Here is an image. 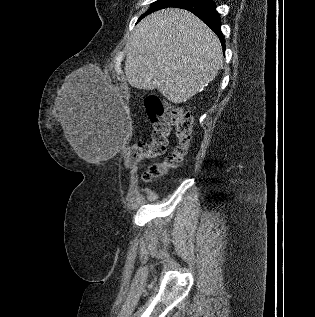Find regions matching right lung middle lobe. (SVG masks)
<instances>
[{"label": "right lung middle lobe", "mask_w": 315, "mask_h": 317, "mask_svg": "<svg viewBox=\"0 0 315 317\" xmlns=\"http://www.w3.org/2000/svg\"><path fill=\"white\" fill-rule=\"evenodd\" d=\"M179 1L180 0H157L156 2H154L151 5L150 9L143 16H145L146 14H149L151 12H154L156 10L167 8L171 5L176 4Z\"/></svg>", "instance_id": "dd1d6c3e"}]
</instances>
